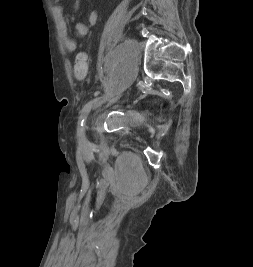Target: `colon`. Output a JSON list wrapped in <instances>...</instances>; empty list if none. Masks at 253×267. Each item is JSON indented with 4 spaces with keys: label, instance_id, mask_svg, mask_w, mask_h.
Wrapping results in <instances>:
<instances>
[{
    "label": "colon",
    "instance_id": "1",
    "mask_svg": "<svg viewBox=\"0 0 253 267\" xmlns=\"http://www.w3.org/2000/svg\"><path fill=\"white\" fill-rule=\"evenodd\" d=\"M88 71L87 57L84 53H79L74 61L73 72L76 79L82 80Z\"/></svg>",
    "mask_w": 253,
    "mask_h": 267
}]
</instances>
